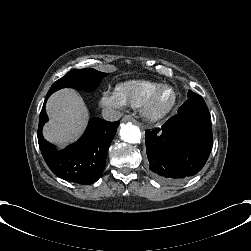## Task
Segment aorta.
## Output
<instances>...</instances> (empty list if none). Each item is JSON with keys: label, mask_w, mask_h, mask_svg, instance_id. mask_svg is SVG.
Wrapping results in <instances>:
<instances>
[{"label": "aorta", "mask_w": 251, "mask_h": 251, "mask_svg": "<svg viewBox=\"0 0 251 251\" xmlns=\"http://www.w3.org/2000/svg\"><path fill=\"white\" fill-rule=\"evenodd\" d=\"M120 136L127 143H139L141 139L139 127L131 122L121 124Z\"/></svg>", "instance_id": "1"}]
</instances>
